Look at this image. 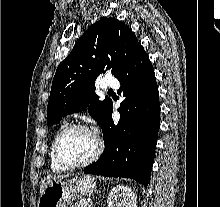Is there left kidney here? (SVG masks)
<instances>
[{
    "instance_id": "left-kidney-1",
    "label": "left kidney",
    "mask_w": 220,
    "mask_h": 207,
    "mask_svg": "<svg viewBox=\"0 0 220 207\" xmlns=\"http://www.w3.org/2000/svg\"><path fill=\"white\" fill-rule=\"evenodd\" d=\"M108 207H137V196L127 186L112 188L107 198Z\"/></svg>"
}]
</instances>
